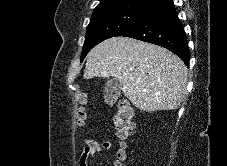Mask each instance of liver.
<instances>
[{"instance_id":"6515ba94","label":"liver","mask_w":227,"mask_h":166,"mask_svg":"<svg viewBox=\"0 0 227 166\" xmlns=\"http://www.w3.org/2000/svg\"><path fill=\"white\" fill-rule=\"evenodd\" d=\"M114 77L143 111L175 110L186 94L188 70L169 50L127 37H113L87 55L84 78Z\"/></svg>"}]
</instances>
